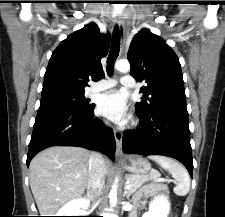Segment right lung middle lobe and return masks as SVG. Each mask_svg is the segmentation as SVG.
<instances>
[{"mask_svg":"<svg viewBox=\"0 0 225 217\" xmlns=\"http://www.w3.org/2000/svg\"><path fill=\"white\" fill-rule=\"evenodd\" d=\"M40 106H63L79 110L88 109L93 106L84 99V92H52L41 95Z\"/></svg>","mask_w":225,"mask_h":217,"instance_id":"dd1d6c3e","label":"right lung middle lobe"}]
</instances>
